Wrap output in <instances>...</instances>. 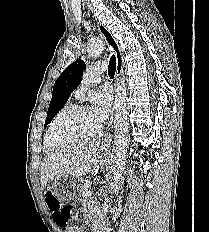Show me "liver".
I'll list each match as a JSON object with an SVG mask.
<instances>
[{
  "label": "liver",
  "instance_id": "6515ba94",
  "mask_svg": "<svg viewBox=\"0 0 209 232\" xmlns=\"http://www.w3.org/2000/svg\"><path fill=\"white\" fill-rule=\"evenodd\" d=\"M100 143L90 141L75 144L47 156L41 167V189L55 176L82 177L99 169Z\"/></svg>",
  "mask_w": 209,
  "mask_h": 232
}]
</instances>
